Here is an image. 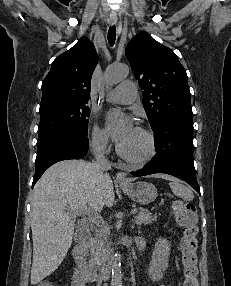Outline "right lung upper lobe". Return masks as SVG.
Here are the masks:
<instances>
[{"label":"right lung upper lobe","mask_w":231,"mask_h":286,"mask_svg":"<svg viewBox=\"0 0 231 286\" xmlns=\"http://www.w3.org/2000/svg\"><path fill=\"white\" fill-rule=\"evenodd\" d=\"M97 60L94 45L87 37L80 38L70 50L53 61L42 83L40 106L58 101L88 103Z\"/></svg>","instance_id":"1"}]
</instances>
